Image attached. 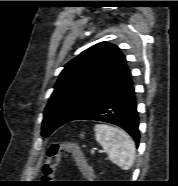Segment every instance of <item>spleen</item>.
I'll return each instance as SVG.
<instances>
[{
    "label": "spleen",
    "mask_w": 178,
    "mask_h": 186,
    "mask_svg": "<svg viewBox=\"0 0 178 186\" xmlns=\"http://www.w3.org/2000/svg\"><path fill=\"white\" fill-rule=\"evenodd\" d=\"M95 137L109 160L122 170H129L135 159V143L122 129L105 124L95 125Z\"/></svg>",
    "instance_id": "spleen-1"
}]
</instances>
